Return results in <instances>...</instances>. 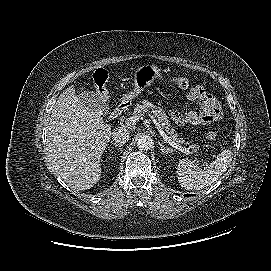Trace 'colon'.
<instances>
[{"label": "colon", "mask_w": 271, "mask_h": 271, "mask_svg": "<svg viewBox=\"0 0 271 271\" xmlns=\"http://www.w3.org/2000/svg\"><path fill=\"white\" fill-rule=\"evenodd\" d=\"M106 81H107V76L104 71H98L93 75L94 91L101 100H106L108 97ZM171 83L174 86L181 89H187L190 86V81L188 80V78L182 77V76H173L171 78ZM216 135L217 134L215 131H210L207 134V138L209 140H213L215 139Z\"/></svg>", "instance_id": "1"}]
</instances>
